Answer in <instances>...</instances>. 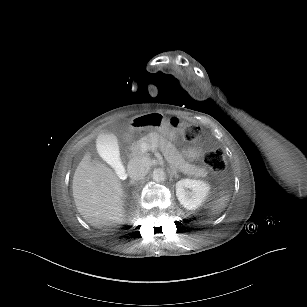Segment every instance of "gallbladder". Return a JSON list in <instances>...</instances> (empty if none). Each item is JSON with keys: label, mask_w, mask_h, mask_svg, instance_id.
Returning <instances> with one entry per match:
<instances>
[{"label": "gallbladder", "mask_w": 307, "mask_h": 307, "mask_svg": "<svg viewBox=\"0 0 307 307\" xmlns=\"http://www.w3.org/2000/svg\"><path fill=\"white\" fill-rule=\"evenodd\" d=\"M95 145L103 155L104 159L114 167L115 172L120 173V179H127L128 174L127 172L122 171L123 167L120 164L119 150L117 148L118 142L116 138L109 133H101L98 135Z\"/></svg>", "instance_id": "obj_1"}]
</instances>
